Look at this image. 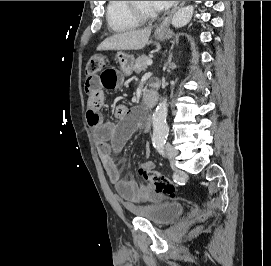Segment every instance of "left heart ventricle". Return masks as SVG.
Instances as JSON below:
<instances>
[{"label":"left heart ventricle","instance_id":"obj_1","mask_svg":"<svg viewBox=\"0 0 271 266\" xmlns=\"http://www.w3.org/2000/svg\"><path fill=\"white\" fill-rule=\"evenodd\" d=\"M137 7L145 13L154 14L156 11L151 5V1H136Z\"/></svg>","mask_w":271,"mask_h":266}]
</instances>
